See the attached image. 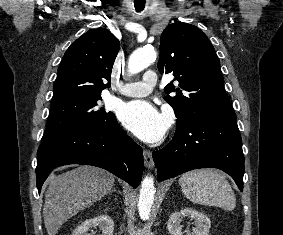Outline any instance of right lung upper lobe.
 Instances as JSON below:
<instances>
[{
  "instance_id": "cb5924a9",
  "label": "right lung upper lobe",
  "mask_w": 283,
  "mask_h": 235,
  "mask_svg": "<svg viewBox=\"0 0 283 235\" xmlns=\"http://www.w3.org/2000/svg\"><path fill=\"white\" fill-rule=\"evenodd\" d=\"M120 48L118 39L105 28L83 34L65 52L54 84L52 103L72 97L101 96L110 84L111 71Z\"/></svg>"
}]
</instances>
